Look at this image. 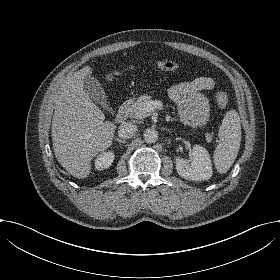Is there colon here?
Listing matches in <instances>:
<instances>
[{"instance_id":"1","label":"colon","mask_w":280,"mask_h":280,"mask_svg":"<svg viewBox=\"0 0 280 280\" xmlns=\"http://www.w3.org/2000/svg\"><path fill=\"white\" fill-rule=\"evenodd\" d=\"M161 69L166 73L176 71L180 67V62L176 58L165 59L160 64ZM215 99L219 108L224 109L228 105V95L224 91H218L215 93Z\"/></svg>"}]
</instances>
